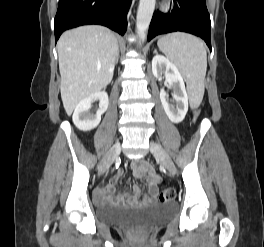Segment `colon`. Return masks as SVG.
I'll list each match as a JSON object with an SVG mask.
<instances>
[{"label":"colon","mask_w":264,"mask_h":247,"mask_svg":"<svg viewBox=\"0 0 264 247\" xmlns=\"http://www.w3.org/2000/svg\"><path fill=\"white\" fill-rule=\"evenodd\" d=\"M158 198L162 202L171 201L175 198V191L173 189H164L159 193Z\"/></svg>","instance_id":"colon-1"}]
</instances>
